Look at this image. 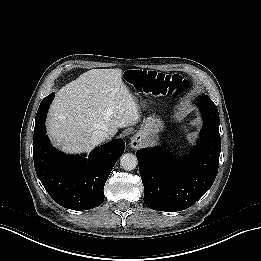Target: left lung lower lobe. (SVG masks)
<instances>
[{
  "label": "left lung lower lobe",
  "instance_id": "obj_1",
  "mask_svg": "<svg viewBox=\"0 0 261 261\" xmlns=\"http://www.w3.org/2000/svg\"><path fill=\"white\" fill-rule=\"evenodd\" d=\"M204 120L200 142L184 159L159 147L138 150L144 203L151 209L174 212L192 206L212 186L219 166V114L209 97L199 102Z\"/></svg>",
  "mask_w": 261,
  "mask_h": 261
}]
</instances>
